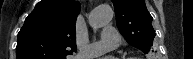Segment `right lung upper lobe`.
<instances>
[{
	"label": "right lung upper lobe",
	"mask_w": 193,
	"mask_h": 59,
	"mask_svg": "<svg viewBox=\"0 0 193 59\" xmlns=\"http://www.w3.org/2000/svg\"><path fill=\"white\" fill-rule=\"evenodd\" d=\"M74 0H42L18 33L16 59H66L76 51Z\"/></svg>",
	"instance_id": "cb5924a9"
}]
</instances>
